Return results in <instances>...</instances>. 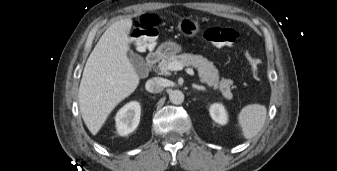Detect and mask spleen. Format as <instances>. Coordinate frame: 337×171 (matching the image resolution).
Segmentation results:
<instances>
[{
  "label": "spleen",
  "instance_id": "spleen-1",
  "mask_svg": "<svg viewBox=\"0 0 337 171\" xmlns=\"http://www.w3.org/2000/svg\"><path fill=\"white\" fill-rule=\"evenodd\" d=\"M267 109L264 105L251 104L242 108L238 123L245 139H251L262 129L266 120Z\"/></svg>",
  "mask_w": 337,
  "mask_h": 171
}]
</instances>
